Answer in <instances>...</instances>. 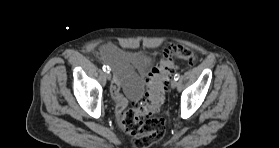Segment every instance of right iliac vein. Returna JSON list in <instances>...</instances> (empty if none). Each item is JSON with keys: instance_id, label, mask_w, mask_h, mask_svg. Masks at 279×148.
<instances>
[{"instance_id": "right-iliac-vein-1", "label": "right iliac vein", "mask_w": 279, "mask_h": 148, "mask_svg": "<svg viewBox=\"0 0 279 148\" xmlns=\"http://www.w3.org/2000/svg\"><path fill=\"white\" fill-rule=\"evenodd\" d=\"M105 76L108 80H111V78H112V75L110 72H106Z\"/></svg>"}]
</instances>
